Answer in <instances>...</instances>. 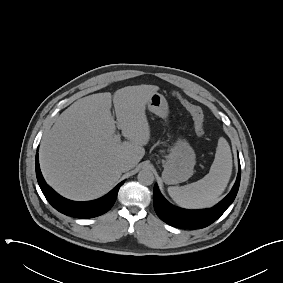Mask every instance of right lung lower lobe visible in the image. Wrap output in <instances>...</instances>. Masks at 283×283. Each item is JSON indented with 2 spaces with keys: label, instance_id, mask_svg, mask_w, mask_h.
Wrapping results in <instances>:
<instances>
[{
  "label": "right lung lower lobe",
  "instance_id": "obj_1",
  "mask_svg": "<svg viewBox=\"0 0 283 283\" xmlns=\"http://www.w3.org/2000/svg\"><path fill=\"white\" fill-rule=\"evenodd\" d=\"M35 167L39 186L48 202L59 212L77 218H93L106 213L113 206L119 188L124 183L122 181L111 192L100 199L88 202H76L60 196L47 185L39 168L38 153L36 154Z\"/></svg>",
  "mask_w": 283,
  "mask_h": 283
}]
</instances>
